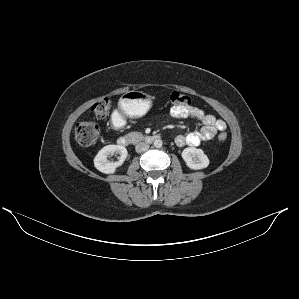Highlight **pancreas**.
I'll return each instance as SVG.
<instances>
[{"mask_svg":"<svg viewBox=\"0 0 299 299\" xmlns=\"http://www.w3.org/2000/svg\"><path fill=\"white\" fill-rule=\"evenodd\" d=\"M130 136L133 138L134 141H137V140H140L143 138V135L140 132H132V133H130Z\"/></svg>","mask_w":299,"mask_h":299,"instance_id":"cf45deb5","label":"pancreas"}]
</instances>
